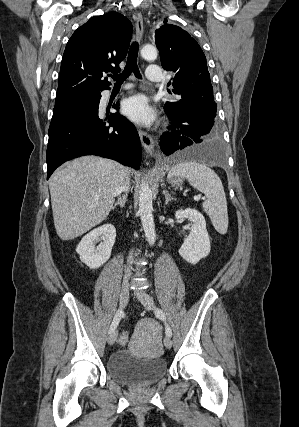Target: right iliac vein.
Wrapping results in <instances>:
<instances>
[{
  "mask_svg": "<svg viewBox=\"0 0 299 427\" xmlns=\"http://www.w3.org/2000/svg\"><path fill=\"white\" fill-rule=\"evenodd\" d=\"M128 300H129V285H128V282L124 280L122 283L121 291H120V298H119L120 307L124 308L127 305ZM117 336H118L117 330H114L112 333H110L108 337V344L113 345L117 339Z\"/></svg>",
  "mask_w": 299,
  "mask_h": 427,
  "instance_id": "obj_1",
  "label": "right iliac vein"
}]
</instances>
